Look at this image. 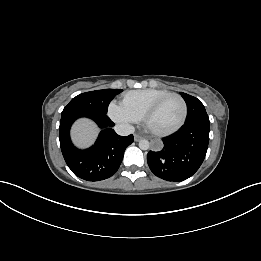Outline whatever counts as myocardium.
<instances>
[{
  "mask_svg": "<svg viewBox=\"0 0 261 261\" xmlns=\"http://www.w3.org/2000/svg\"><path fill=\"white\" fill-rule=\"evenodd\" d=\"M169 98H177L181 102L182 115H181L179 122L173 128L168 129V130L159 131V130L152 129L149 126V119L158 110V108ZM186 118H187V104H186V101L184 100V98L177 93H169V94L162 96L161 98L156 100L152 105H150L148 107V109L143 114L142 122H143L145 128L150 133H152L156 136H168V135H171V134L177 132L184 125Z\"/></svg>",
  "mask_w": 261,
  "mask_h": 261,
  "instance_id": "obj_1",
  "label": "myocardium"
}]
</instances>
